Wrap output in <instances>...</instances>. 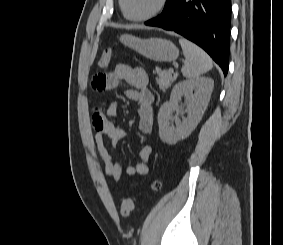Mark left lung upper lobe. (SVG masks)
<instances>
[{"instance_id":"1","label":"left lung upper lobe","mask_w":283,"mask_h":245,"mask_svg":"<svg viewBox=\"0 0 283 245\" xmlns=\"http://www.w3.org/2000/svg\"><path fill=\"white\" fill-rule=\"evenodd\" d=\"M173 0H167L166 4H165V8L172 2Z\"/></svg>"}]
</instances>
